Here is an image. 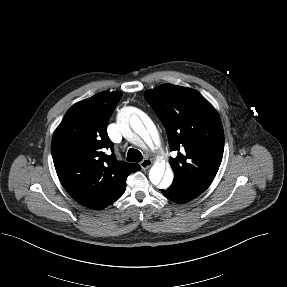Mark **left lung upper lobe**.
Returning a JSON list of instances; mask_svg holds the SVG:
<instances>
[{"label": "left lung upper lobe", "instance_id": "1", "mask_svg": "<svg viewBox=\"0 0 287 287\" xmlns=\"http://www.w3.org/2000/svg\"><path fill=\"white\" fill-rule=\"evenodd\" d=\"M168 135L174 181L196 195L214 180L223 157L224 131L213 106L196 90L164 84L144 95Z\"/></svg>", "mask_w": 287, "mask_h": 287}]
</instances>
